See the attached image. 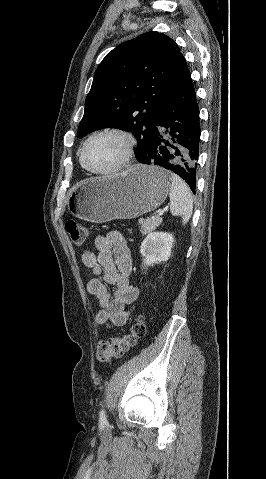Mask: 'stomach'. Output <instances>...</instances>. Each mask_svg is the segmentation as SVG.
<instances>
[{
	"label": "stomach",
	"mask_w": 266,
	"mask_h": 479,
	"mask_svg": "<svg viewBox=\"0 0 266 479\" xmlns=\"http://www.w3.org/2000/svg\"><path fill=\"white\" fill-rule=\"evenodd\" d=\"M170 186L169 171L138 164L111 177L77 184L68 194L66 205L70 213L92 223L133 219L157 209Z\"/></svg>",
	"instance_id": "1"
}]
</instances>
